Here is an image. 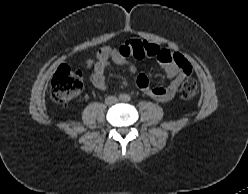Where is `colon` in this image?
<instances>
[{
  "mask_svg": "<svg viewBox=\"0 0 248 194\" xmlns=\"http://www.w3.org/2000/svg\"><path fill=\"white\" fill-rule=\"evenodd\" d=\"M153 53V46L149 42L133 41V54L136 58H143ZM190 66L187 72L190 73ZM83 88L81 74L68 65H61L54 73L50 91L52 99L57 103H65L78 94ZM197 82L186 79L180 88V97L184 102H189L197 93Z\"/></svg>",
  "mask_w": 248,
  "mask_h": 194,
  "instance_id": "obj_1",
  "label": "colon"
}]
</instances>
